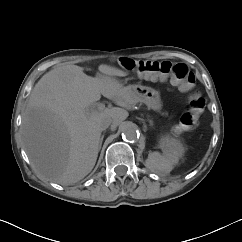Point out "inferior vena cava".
<instances>
[{
	"label": "inferior vena cava",
	"instance_id": "1",
	"mask_svg": "<svg viewBox=\"0 0 242 242\" xmlns=\"http://www.w3.org/2000/svg\"><path fill=\"white\" fill-rule=\"evenodd\" d=\"M99 125L101 130L109 133L115 130L117 124L114 118L108 116L102 118Z\"/></svg>",
	"mask_w": 242,
	"mask_h": 242
}]
</instances>
